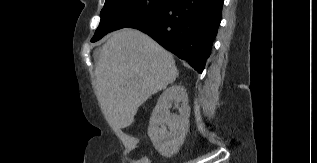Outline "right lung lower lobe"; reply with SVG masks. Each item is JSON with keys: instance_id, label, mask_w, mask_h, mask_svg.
<instances>
[{"instance_id": "obj_1", "label": "right lung lower lobe", "mask_w": 317, "mask_h": 163, "mask_svg": "<svg viewBox=\"0 0 317 163\" xmlns=\"http://www.w3.org/2000/svg\"><path fill=\"white\" fill-rule=\"evenodd\" d=\"M224 0H169L148 17L132 23L202 73L221 21Z\"/></svg>"}]
</instances>
